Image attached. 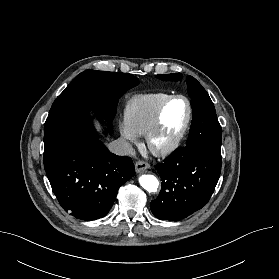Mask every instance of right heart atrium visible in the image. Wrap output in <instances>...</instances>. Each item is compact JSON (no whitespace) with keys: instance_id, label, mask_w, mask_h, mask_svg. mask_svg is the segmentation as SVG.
<instances>
[{"instance_id":"d8ad5b80","label":"right heart atrium","mask_w":279,"mask_h":279,"mask_svg":"<svg viewBox=\"0 0 279 279\" xmlns=\"http://www.w3.org/2000/svg\"><path fill=\"white\" fill-rule=\"evenodd\" d=\"M120 134L129 145L135 144L138 141V134H136L125 122L120 126Z\"/></svg>"}]
</instances>
